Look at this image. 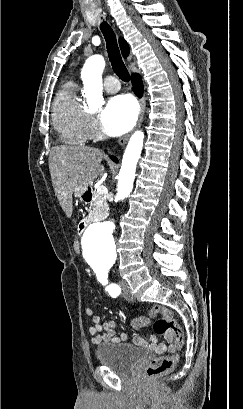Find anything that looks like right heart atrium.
Instances as JSON below:
<instances>
[{"instance_id":"obj_1","label":"right heart atrium","mask_w":243,"mask_h":409,"mask_svg":"<svg viewBox=\"0 0 243 409\" xmlns=\"http://www.w3.org/2000/svg\"><path fill=\"white\" fill-rule=\"evenodd\" d=\"M86 133L90 140H96L101 136L97 121L90 114L86 115Z\"/></svg>"}]
</instances>
